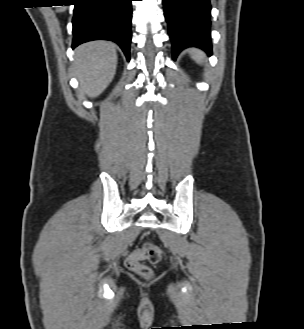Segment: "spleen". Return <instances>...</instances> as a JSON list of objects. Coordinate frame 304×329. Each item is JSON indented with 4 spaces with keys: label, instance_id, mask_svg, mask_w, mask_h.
Here are the masks:
<instances>
[{
    "label": "spleen",
    "instance_id": "1",
    "mask_svg": "<svg viewBox=\"0 0 304 329\" xmlns=\"http://www.w3.org/2000/svg\"><path fill=\"white\" fill-rule=\"evenodd\" d=\"M192 59H194L197 63L203 62V53L197 49H191L190 51Z\"/></svg>",
    "mask_w": 304,
    "mask_h": 329
}]
</instances>
